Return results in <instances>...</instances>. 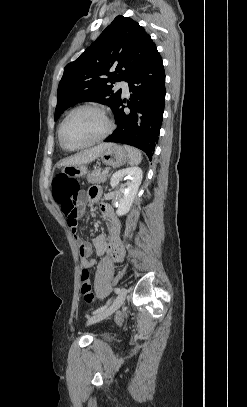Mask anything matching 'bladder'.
Segmentation results:
<instances>
[{
	"label": "bladder",
	"instance_id": "obj_1",
	"mask_svg": "<svg viewBox=\"0 0 247 407\" xmlns=\"http://www.w3.org/2000/svg\"><path fill=\"white\" fill-rule=\"evenodd\" d=\"M95 337H96V338H105L106 335H96Z\"/></svg>",
	"mask_w": 247,
	"mask_h": 407
}]
</instances>
